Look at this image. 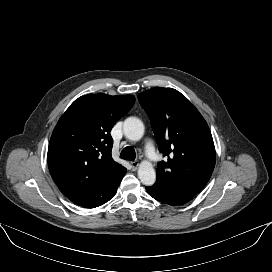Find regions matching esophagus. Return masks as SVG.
Here are the masks:
<instances>
[{
    "instance_id": "esophagus-1",
    "label": "esophagus",
    "mask_w": 272,
    "mask_h": 272,
    "mask_svg": "<svg viewBox=\"0 0 272 272\" xmlns=\"http://www.w3.org/2000/svg\"><path fill=\"white\" fill-rule=\"evenodd\" d=\"M139 166V163L137 161H132L131 162V167H132V170H136Z\"/></svg>"
}]
</instances>
